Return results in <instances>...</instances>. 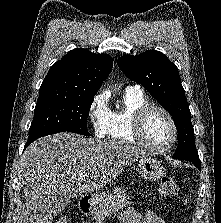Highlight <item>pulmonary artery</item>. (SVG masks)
Wrapping results in <instances>:
<instances>
[{
	"label": "pulmonary artery",
	"mask_w": 221,
	"mask_h": 223,
	"mask_svg": "<svg viewBox=\"0 0 221 223\" xmlns=\"http://www.w3.org/2000/svg\"><path fill=\"white\" fill-rule=\"evenodd\" d=\"M129 89H140V87L137 85H129L126 87V90H129Z\"/></svg>",
	"instance_id": "obj_1"
}]
</instances>
